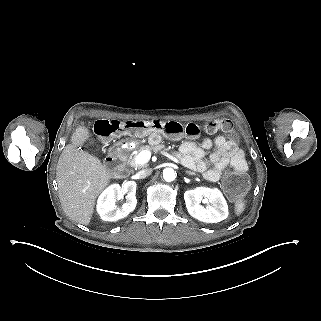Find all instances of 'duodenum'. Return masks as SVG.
<instances>
[{
    "instance_id": "410a0bca",
    "label": "duodenum",
    "mask_w": 321,
    "mask_h": 321,
    "mask_svg": "<svg viewBox=\"0 0 321 321\" xmlns=\"http://www.w3.org/2000/svg\"><path fill=\"white\" fill-rule=\"evenodd\" d=\"M125 159V151L120 146H114L110 149L106 158V167L109 170L121 172L123 170V162Z\"/></svg>"
}]
</instances>
